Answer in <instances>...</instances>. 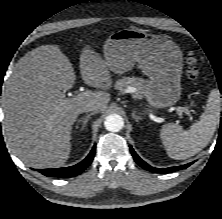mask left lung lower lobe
Returning a JSON list of instances; mask_svg holds the SVG:
<instances>
[{
  "label": "left lung lower lobe",
  "mask_w": 222,
  "mask_h": 219,
  "mask_svg": "<svg viewBox=\"0 0 222 219\" xmlns=\"http://www.w3.org/2000/svg\"><path fill=\"white\" fill-rule=\"evenodd\" d=\"M130 151L132 153V156L135 160V162L140 165L142 168L151 171V172H156V173H171V172H175L178 170H182L187 168L188 166H190L192 163L189 164H185V165H181V166H175V167H169V168H165V169H159V168H154L150 165H148L146 162H144L133 150L132 146H130Z\"/></svg>",
  "instance_id": "0a47b994"
}]
</instances>
